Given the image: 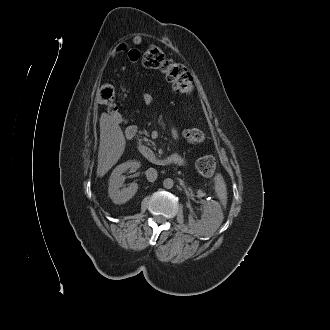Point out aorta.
<instances>
[{
  "label": "aorta",
  "mask_w": 330,
  "mask_h": 330,
  "mask_svg": "<svg viewBox=\"0 0 330 330\" xmlns=\"http://www.w3.org/2000/svg\"><path fill=\"white\" fill-rule=\"evenodd\" d=\"M173 185H174V182H173V179H171V178H166L163 181V186L166 189H171L173 187Z\"/></svg>",
  "instance_id": "aorta-1"
}]
</instances>
